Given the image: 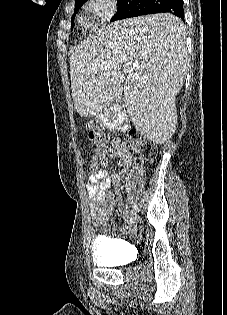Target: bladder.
<instances>
[{
    "mask_svg": "<svg viewBox=\"0 0 227 315\" xmlns=\"http://www.w3.org/2000/svg\"><path fill=\"white\" fill-rule=\"evenodd\" d=\"M124 242L119 239L97 237L92 244V260L102 266H116L121 262V258L111 254L109 249L121 247Z\"/></svg>",
    "mask_w": 227,
    "mask_h": 315,
    "instance_id": "31cf9c89",
    "label": "bladder"
}]
</instances>
